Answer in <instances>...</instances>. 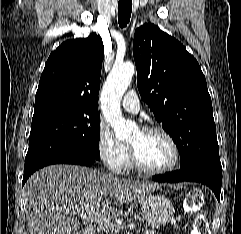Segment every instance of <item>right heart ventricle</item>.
Returning a JSON list of instances; mask_svg holds the SVG:
<instances>
[{
  "label": "right heart ventricle",
  "instance_id": "1",
  "mask_svg": "<svg viewBox=\"0 0 241 234\" xmlns=\"http://www.w3.org/2000/svg\"><path fill=\"white\" fill-rule=\"evenodd\" d=\"M132 168H133V166H132L130 156H129V147L126 146V154H125V157H124L122 169L130 170Z\"/></svg>",
  "mask_w": 241,
  "mask_h": 234
}]
</instances>
